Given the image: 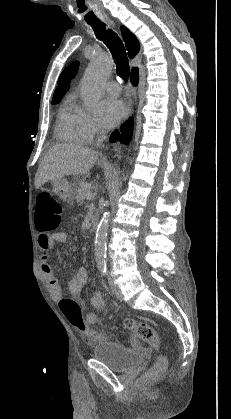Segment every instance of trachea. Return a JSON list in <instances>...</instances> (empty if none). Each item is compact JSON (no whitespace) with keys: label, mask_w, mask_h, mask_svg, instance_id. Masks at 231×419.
Masks as SVG:
<instances>
[{"label":"trachea","mask_w":231,"mask_h":419,"mask_svg":"<svg viewBox=\"0 0 231 419\" xmlns=\"http://www.w3.org/2000/svg\"><path fill=\"white\" fill-rule=\"evenodd\" d=\"M93 28L96 37L103 41L109 48L116 63L117 74L125 81L129 78V64L125 47L119 36L110 29H106V25L101 22H88Z\"/></svg>","instance_id":"1"}]
</instances>
